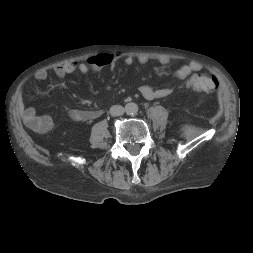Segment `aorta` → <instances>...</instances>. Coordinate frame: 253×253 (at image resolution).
<instances>
[{"label":"aorta","mask_w":253,"mask_h":253,"mask_svg":"<svg viewBox=\"0 0 253 253\" xmlns=\"http://www.w3.org/2000/svg\"><path fill=\"white\" fill-rule=\"evenodd\" d=\"M125 112L129 115H134L138 112V105L134 102L125 105Z\"/></svg>","instance_id":"aorta-1"}]
</instances>
